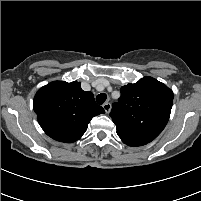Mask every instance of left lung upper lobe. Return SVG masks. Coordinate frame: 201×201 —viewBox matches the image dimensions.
Listing matches in <instances>:
<instances>
[{
    "label": "left lung upper lobe",
    "mask_w": 201,
    "mask_h": 201,
    "mask_svg": "<svg viewBox=\"0 0 201 201\" xmlns=\"http://www.w3.org/2000/svg\"><path fill=\"white\" fill-rule=\"evenodd\" d=\"M121 97L110 116L120 138L149 143L165 128L171 113L173 92L152 77L122 86Z\"/></svg>",
    "instance_id": "left-lung-upper-lobe-1"
}]
</instances>
